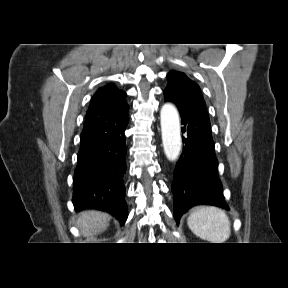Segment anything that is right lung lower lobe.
Masks as SVG:
<instances>
[{"label": "right lung lower lobe", "mask_w": 288, "mask_h": 288, "mask_svg": "<svg viewBox=\"0 0 288 288\" xmlns=\"http://www.w3.org/2000/svg\"><path fill=\"white\" fill-rule=\"evenodd\" d=\"M111 139L80 149L73 183L76 211L95 208L110 213L123 225L128 217L125 201V129Z\"/></svg>", "instance_id": "obj_1"}]
</instances>
